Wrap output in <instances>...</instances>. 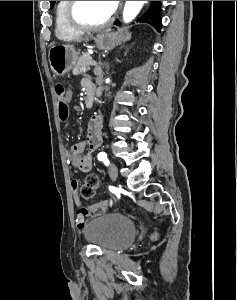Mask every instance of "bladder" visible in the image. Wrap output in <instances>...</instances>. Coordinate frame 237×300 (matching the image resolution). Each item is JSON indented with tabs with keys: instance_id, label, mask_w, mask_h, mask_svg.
<instances>
[{
	"instance_id": "31cf9c89",
	"label": "bladder",
	"mask_w": 237,
	"mask_h": 300,
	"mask_svg": "<svg viewBox=\"0 0 237 300\" xmlns=\"http://www.w3.org/2000/svg\"><path fill=\"white\" fill-rule=\"evenodd\" d=\"M83 237L91 245L105 251H117L129 246L136 227L128 217L106 213L90 219L83 228Z\"/></svg>"
}]
</instances>
